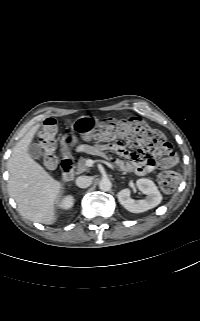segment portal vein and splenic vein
Returning <instances> with one entry per match:
<instances>
[{
    "mask_svg": "<svg viewBox=\"0 0 200 321\" xmlns=\"http://www.w3.org/2000/svg\"><path fill=\"white\" fill-rule=\"evenodd\" d=\"M89 165L93 164L92 160H88Z\"/></svg>",
    "mask_w": 200,
    "mask_h": 321,
    "instance_id": "obj_1",
    "label": "portal vein and splenic vein"
}]
</instances>
